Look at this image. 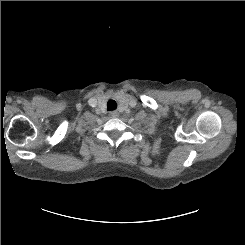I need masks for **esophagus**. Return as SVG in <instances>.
Here are the masks:
<instances>
[{"label": "esophagus", "instance_id": "esophagus-1", "mask_svg": "<svg viewBox=\"0 0 245 245\" xmlns=\"http://www.w3.org/2000/svg\"><path fill=\"white\" fill-rule=\"evenodd\" d=\"M110 117L116 118V117H118V113L116 111H112V112H110Z\"/></svg>", "mask_w": 245, "mask_h": 245}]
</instances>
